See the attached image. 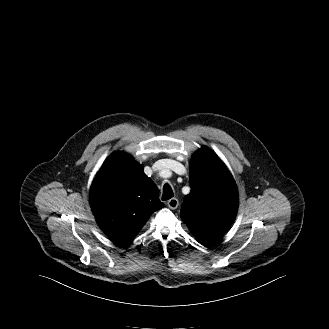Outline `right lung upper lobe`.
Wrapping results in <instances>:
<instances>
[{"mask_svg": "<svg viewBox=\"0 0 329 329\" xmlns=\"http://www.w3.org/2000/svg\"><path fill=\"white\" fill-rule=\"evenodd\" d=\"M89 199L99 227L118 245L130 244L149 216L164 207L143 166L119 151L103 163Z\"/></svg>", "mask_w": 329, "mask_h": 329, "instance_id": "1", "label": "right lung upper lobe"}]
</instances>
